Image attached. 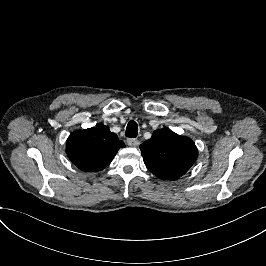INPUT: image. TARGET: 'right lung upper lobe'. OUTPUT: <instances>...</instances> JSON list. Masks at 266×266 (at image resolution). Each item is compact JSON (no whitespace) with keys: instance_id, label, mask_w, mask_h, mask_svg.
I'll return each instance as SVG.
<instances>
[{"instance_id":"obj_1","label":"right lung upper lobe","mask_w":266,"mask_h":266,"mask_svg":"<svg viewBox=\"0 0 266 266\" xmlns=\"http://www.w3.org/2000/svg\"><path fill=\"white\" fill-rule=\"evenodd\" d=\"M124 142L103 124L76 130L69 136L66 153L71 162L86 172H96L109 165Z\"/></svg>"}]
</instances>
